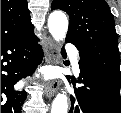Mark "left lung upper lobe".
<instances>
[{
  "mask_svg": "<svg viewBox=\"0 0 121 113\" xmlns=\"http://www.w3.org/2000/svg\"><path fill=\"white\" fill-rule=\"evenodd\" d=\"M51 9L69 15L66 40L77 47L80 57L121 83L117 34L105 0H53Z\"/></svg>",
  "mask_w": 121,
  "mask_h": 113,
  "instance_id": "1",
  "label": "left lung upper lobe"
}]
</instances>
